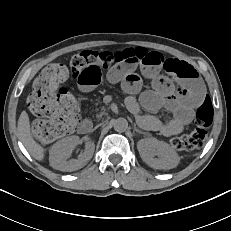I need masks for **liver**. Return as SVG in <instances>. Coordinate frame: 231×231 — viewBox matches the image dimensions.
Wrapping results in <instances>:
<instances>
[{
    "label": "liver",
    "instance_id": "1",
    "mask_svg": "<svg viewBox=\"0 0 231 231\" xmlns=\"http://www.w3.org/2000/svg\"><path fill=\"white\" fill-rule=\"evenodd\" d=\"M17 130L19 138L29 154L36 160L42 161L45 156V149L33 139L29 116L26 111H22L20 114Z\"/></svg>",
    "mask_w": 231,
    "mask_h": 231
}]
</instances>
